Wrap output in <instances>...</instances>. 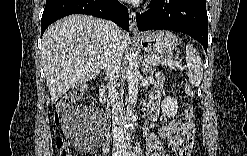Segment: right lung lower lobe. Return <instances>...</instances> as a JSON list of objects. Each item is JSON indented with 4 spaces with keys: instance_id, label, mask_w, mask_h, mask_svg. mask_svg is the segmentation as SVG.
I'll return each mask as SVG.
<instances>
[{
    "instance_id": "obj_1",
    "label": "right lung lower lobe",
    "mask_w": 247,
    "mask_h": 156,
    "mask_svg": "<svg viewBox=\"0 0 247 156\" xmlns=\"http://www.w3.org/2000/svg\"><path fill=\"white\" fill-rule=\"evenodd\" d=\"M70 14H87L114 21L129 30L127 8L118 0H46L41 20V35L54 21Z\"/></svg>"
}]
</instances>
